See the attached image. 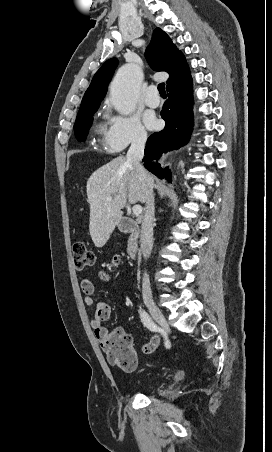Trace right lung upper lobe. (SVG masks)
Instances as JSON below:
<instances>
[{"label":"right lung upper lobe","mask_w":272,"mask_h":452,"mask_svg":"<svg viewBox=\"0 0 272 452\" xmlns=\"http://www.w3.org/2000/svg\"><path fill=\"white\" fill-rule=\"evenodd\" d=\"M145 56L154 70L169 73L167 91L191 77L184 55L172 43L169 36L160 28L154 30L151 43L146 50ZM117 64L118 60L116 58H111L101 66L85 92L80 108L100 105V102L106 95L108 83L112 78Z\"/></svg>","instance_id":"cb5924a9"}]
</instances>
